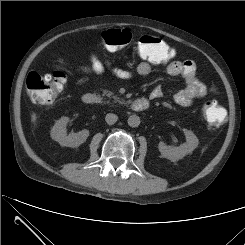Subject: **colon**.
I'll list each match as a JSON object with an SVG mask.
<instances>
[{
	"label": "colon",
	"instance_id": "colon-1",
	"mask_svg": "<svg viewBox=\"0 0 245 245\" xmlns=\"http://www.w3.org/2000/svg\"><path fill=\"white\" fill-rule=\"evenodd\" d=\"M134 37L127 29H110L103 33L102 41L110 49H121L130 45ZM137 52L141 59L164 64L173 58L169 46L160 38L143 35L137 39ZM65 85V77L60 72L41 75L30 71L26 77V87L31 100L37 104H52ZM203 117L209 130L218 129L226 120V110L217 100H208L203 106Z\"/></svg>",
	"mask_w": 245,
	"mask_h": 245
}]
</instances>
